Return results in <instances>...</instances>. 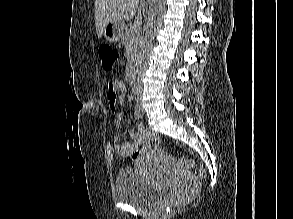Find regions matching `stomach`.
<instances>
[{
	"instance_id": "obj_1",
	"label": "stomach",
	"mask_w": 293,
	"mask_h": 219,
	"mask_svg": "<svg viewBox=\"0 0 293 219\" xmlns=\"http://www.w3.org/2000/svg\"><path fill=\"white\" fill-rule=\"evenodd\" d=\"M125 24L123 22L113 21L109 22L104 30L103 37L107 42L115 43L122 39L125 33Z\"/></svg>"
}]
</instances>
